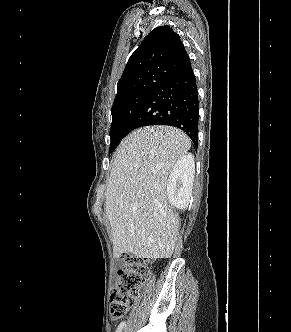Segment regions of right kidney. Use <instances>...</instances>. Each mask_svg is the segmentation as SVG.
I'll return each mask as SVG.
<instances>
[{
    "label": "right kidney",
    "instance_id": "right-kidney-1",
    "mask_svg": "<svg viewBox=\"0 0 291 332\" xmlns=\"http://www.w3.org/2000/svg\"><path fill=\"white\" fill-rule=\"evenodd\" d=\"M195 174V163L192 154H185L174 165L168 182L167 197L168 202L184 209L188 206Z\"/></svg>",
    "mask_w": 291,
    "mask_h": 332
}]
</instances>
